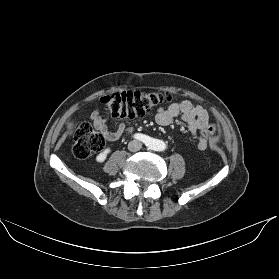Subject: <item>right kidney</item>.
I'll use <instances>...</instances> for the list:
<instances>
[{"mask_svg":"<svg viewBox=\"0 0 279 279\" xmlns=\"http://www.w3.org/2000/svg\"><path fill=\"white\" fill-rule=\"evenodd\" d=\"M111 152V149L110 148H106L104 149L101 153H99L97 156H96V161L97 162H104L107 155Z\"/></svg>","mask_w":279,"mask_h":279,"instance_id":"ca27d5eb","label":"right kidney"}]
</instances>
